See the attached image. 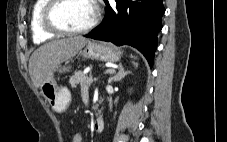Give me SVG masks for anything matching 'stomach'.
<instances>
[{
    "label": "stomach",
    "mask_w": 227,
    "mask_h": 142,
    "mask_svg": "<svg viewBox=\"0 0 227 142\" xmlns=\"http://www.w3.org/2000/svg\"><path fill=\"white\" fill-rule=\"evenodd\" d=\"M82 55L101 61L117 62L121 58V51L112 45L91 41L87 43ZM69 70L67 66H59L56 72L64 73ZM41 94L49 102L51 107L57 111H64L71 101L70 91L66 87H59L54 74L48 76L41 84Z\"/></svg>",
    "instance_id": "stomach-1"
}]
</instances>
